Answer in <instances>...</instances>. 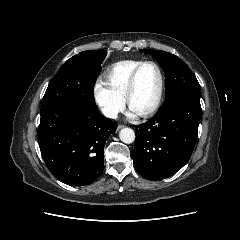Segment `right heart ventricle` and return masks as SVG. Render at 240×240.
Instances as JSON below:
<instances>
[{"instance_id": "1", "label": "right heart ventricle", "mask_w": 240, "mask_h": 240, "mask_svg": "<svg viewBox=\"0 0 240 240\" xmlns=\"http://www.w3.org/2000/svg\"><path fill=\"white\" fill-rule=\"evenodd\" d=\"M141 62L137 59H127L113 63L104 74L106 83L117 94L125 98L130 75Z\"/></svg>"}]
</instances>
